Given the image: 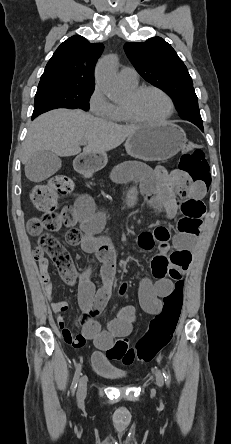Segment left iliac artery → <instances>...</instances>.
I'll list each match as a JSON object with an SVG mask.
<instances>
[{"label": "left iliac artery", "mask_w": 231, "mask_h": 444, "mask_svg": "<svg viewBox=\"0 0 231 444\" xmlns=\"http://www.w3.org/2000/svg\"><path fill=\"white\" fill-rule=\"evenodd\" d=\"M162 370H163V376L165 377L166 385L169 387L170 386L169 374H168V372L164 368Z\"/></svg>", "instance_id": "1"}]
</instances>
